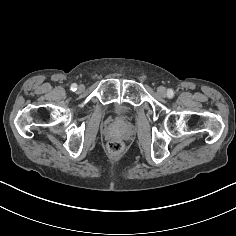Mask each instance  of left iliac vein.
I'll return each mask as SVG.
<instances>
[{
    "instance_id": "1",
    "label": "left iliac vein",
    "mask_w": 236,
    "mask_h": 236,
    "mask_svg": "<svg viewBox=\"0 0 236 236\" xmlns=\"http://www.w3.org/2000/svg\"><path fill=\"white\" fill-rule=\"evenodd\" d=\"M157 93L160 95V96H165L166 95V88L164 86H159L157 88Z\"/></svg>"
}]
</instances>
